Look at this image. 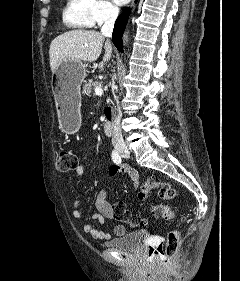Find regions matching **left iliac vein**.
<instances>
[{
    "mask_svg": "<svg viewBox=\"0 0 240 281\" xmlns=\"http://www.w3.org/2000/svg\"><path fill=\"white\" fill-rule=\"evenodd\" d=\"M123 157H124V158H128V157H129V155H123Z\"/></svg>",
    "mask_w": 240,
    "mask_h": 281,
    "instance_id": "left-iliac-vein-1",
    "label": "left iliac vein"
}]
</instances>
